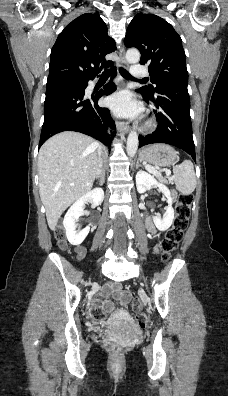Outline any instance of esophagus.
I'll use <instances>...</instances> for the list:
<instances>
[{
	"label": "esophagus",
	"mask_w": 228,
	"mask_h": 396,
	"mask_svg": "<svg viewBox=\"0 0 228 396\" xmlns=\"http://www.w3.org/2000/svg\"><path fill=\"white\" fill-rule=\"evenodd\" d=\"M119 61L123 67H128V63L125 59V50L123 47L119 51ZM116 125L120 132L128 133L129 131L128 123L124 121H117Z\"/></svg>",
	"instance_id": "1"
}]
</instances>
